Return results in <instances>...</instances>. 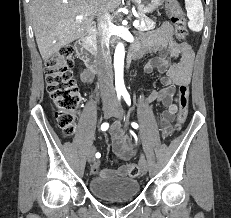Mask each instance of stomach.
I'll return each mask as SVG.
<instances>
[{"label": "stomach", "instance_id": "0dacf381", "mask_svg": "<svg viewBox=\"0 0 231 218\" xmlns=\"http://www.w3.org/2000/svg\"><path fill=\"white\" fill-rule=\"evenodd\" d=\"M139 12L146 14L152 13L155 11L160 5H162L164 0H132Z\"/></svg>", "mask_w": 231, "mask_h": 218}]
</instances>
